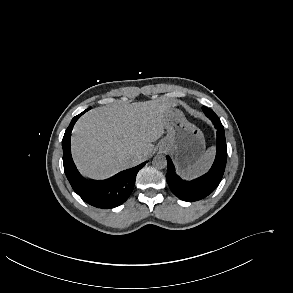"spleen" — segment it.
Masks as SVG:
<instances>
[{"label": "spleen", "instance_id": "1", "mask_svg": "<svg viewBox=\"0 0 293 293\" xmlns=\"http://www.w3.org/2000/svg\"><path fill=\"white\" fill-rule=\"evenodd\" d=\"M214 153V147H210L194 164L184 169L182 175L192 178L205 173L213 162Z\"/></svg>", "mask_w": 293, "mask_h": 293}]
</instances>
